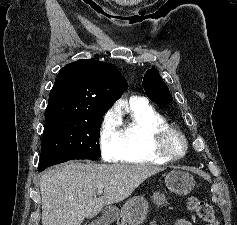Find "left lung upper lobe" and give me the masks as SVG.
I'll return each instance as SVG.
<instances>
[{
    "mask_svg": "<svg viewBox=\"0 0 237 225\" xmlns=\"http://www.w3.org/2000/svg\"><path fill=\"white\" fill-rule=\"evenodd\" d=\"M142 86L146 95L157 104H168L173 98L172 95L162 80L157 69L152 68L146 72L143 78Z\"/></svg>",
    "mask_w": 237,
    "mask_h": 225,
    "instance_id": "1",
    "label": "left lung upper lobe"
}]
</instances>
